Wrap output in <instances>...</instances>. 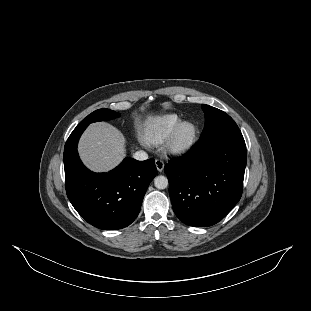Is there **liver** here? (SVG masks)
<instances>
[{
    "instance_id": "6515ba94",
    "label": "liver",
    "mask_w": 311,
    "mask_h": 311,
    "mask_svg": "<svg viewBox=\"0 0 311 311\" xmlns=\"http://www.w3.org/2000/svg\"><path fill=\"white\" fill-rule=\"evenodd\" d=\"M78 150L83 163L89 169L107 172L125 158V137L108 123H93L83 133Z\"/></svg>"
}]
</instances>
